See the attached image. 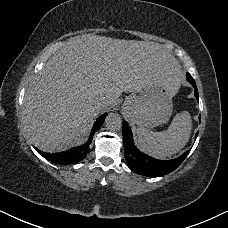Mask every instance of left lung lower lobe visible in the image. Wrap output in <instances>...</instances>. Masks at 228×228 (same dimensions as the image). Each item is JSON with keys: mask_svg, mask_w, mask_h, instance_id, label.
<instances>
[{"mask_svg": "<svg viewBox=\"0 0 228 228\" xmlns=\"http://www.w3.org/2000/svg\"><path fill=\"white\" fill-rule=\"evenodd\" d=\"M187 81L194 87V94L199 101L198 90L192 76L187 73ZM124 156L128 166L136 173L148 177H158L174 171L187 157L191 148L180 157L172 160H157L140 152L133 143V137L127 122L122 123ZM198 132L196 134V137Z\"/></svg>", "mask_w": 228, "mask_h": 228, "instance_id": "1", "label": "left lung lower lobe"}]
</instances>
